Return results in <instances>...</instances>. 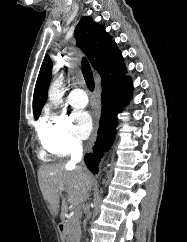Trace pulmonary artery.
Returning a JSON list of instances; mask_svg holds the SVG:
<instances>
[{"mask_svg": "<svg viewBox=\"0 0 187 242\" xmlns=\"http://www.w3.org/2000/svg\"><path fill=\"white\" fill-rule=\"evenodd\" d=\"M68 101L72 106L76 108L85 107L88 103V99L85 91L79 88L73 89L70 92L68 96Z\"/></svg>", "mask_w": 187, "mask_h": 242, "instance_id": "obj_1", "label": "pulmonary artery"}]
</instances>
